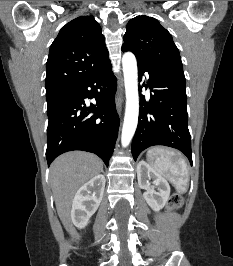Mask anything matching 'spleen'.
I'll return each mask as SVG.
<instances>
[{
	"label": "spleen",
	"instance_id": "1",
	"mask_svg": "<svg viewBox=\"0 0 233 266\" xmlns=\"http://www.w3.org/2000/svg\"><path fill=\"white\" fill-rule=\"evenodd\" d=\"M147 160L157 173L173 184L178 193L187 192L188 165L180 153L163 147H153L147 151Z\"/></svg>",
	"mask_w": 233,
	"mask_h": 266
}]
</instances>
